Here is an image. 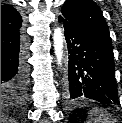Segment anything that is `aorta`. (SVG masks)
Here are the masks:
<instances>
[{
    "label": "aorta",
    "instance_id": "762f6f07",
    "mask_svg": "<svg viewBox=\"0 0 122 123\" xmlns=\"http://www.w3.org/2000/svg\"><path fill=\"white\" fill-rule=\"evenodd\" d=\"M54 52L59 65H62L63 59V33L61 28H56L53 33Z\"/></svg>",
    "mask_w": 122,
    "mask_h": 123
}]
</instances>
